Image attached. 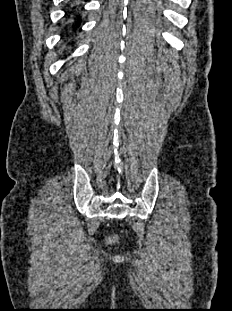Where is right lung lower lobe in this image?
<instances>
[{
	"label": "right lung lower lobe",
	"instance_id": "1",
	"mask_svg": "<svg viewBox=\"0 0 232 311\" xmlns=\"http://www.w3.org/2000/svg\"><path fill=\"white\" fill-rule=\"evenodd\" d=\"M70 16L72 17L71 32L75 33L81 24V16L79 15L77 6L72 8L70 11Z\"/></svg>",
	"mask_w": 232,
	"mask_h": 311
}]
</instances>
